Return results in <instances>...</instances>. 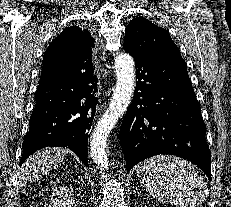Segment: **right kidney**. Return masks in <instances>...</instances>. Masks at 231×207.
<instances>
[{"label":"right kidney","mask_w":231,"mask_h":207,"mask_svg":"<svg viewBox=\"0 0 231 207\" xmlns=\"http://www.w3.org/2000/svg\"><path fill=\"white\" fill-rule=\"evenodd\" d=\"M73 193L67 188H62L52 194L51 201L48 207H73Z\"/></svg>","instance_id":"obj_1"}]
</instances>
